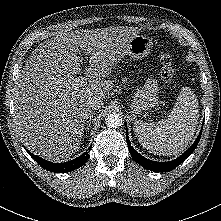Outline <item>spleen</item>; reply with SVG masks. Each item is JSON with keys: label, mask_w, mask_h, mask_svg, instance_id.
Returning <instances> with one entry per match:
<instances>
[{"label": "spleen", "mask_w": 221, "mask_h": 221, "mask_svg": "<svg viewBox=\"0 0 221 221\" xmlns=\"http://www.w3.org/2000/svg\"><path fill=\"white\" fill-rule=\"evenodd\" d=\"M199 119V104L189 87H183L167 119L157 123L134 122L139 143L154 154L172 156L181 153L190 143Z\"/></svg>", "instance_id": "3e777b00"}]
</instances>
